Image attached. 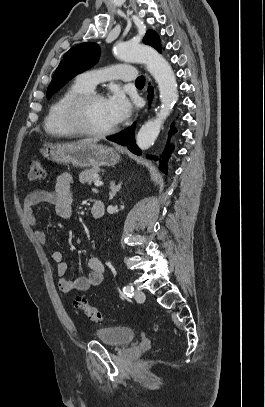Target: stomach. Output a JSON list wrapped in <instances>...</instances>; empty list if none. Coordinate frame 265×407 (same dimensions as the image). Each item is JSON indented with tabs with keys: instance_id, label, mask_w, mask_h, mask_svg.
I'll return each instance as SVG.
<instances>
[{
	"instance_id": "0dacf381",
	"label": "stomach",
	"mask_w": 265,
	"mask_h": 407,
	"mask_svg": "<svg viewBox=\"0 0 265 407\" xmlns=\"http://www.w3.org/2000/svg\"><path fill=\"white\" fill-rule=\"evenodd\" d=\"M40 153L44 158L75 167L113 166L120 156L111 147L92 143H45Z\"/></svg>"
}]
</instances>
